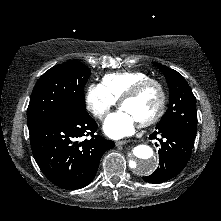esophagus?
<instances>
[{
	"label": "esophagus",
	"mask_w": 221,
	"mask_h": 221,
	"mask_svg": "<svg viewBox=\"0 0 221 221\" xmlns=\"http://www.w3.org/2000/svg\"><path fill=\"white\" fill-rule=\"evenodd\" d=\"M129 142H130V140L116 141V142H115V145H116L117 147H119V146L125 145V144H127V143H129Z\"/></svg>",
	"instance_id": "obj_1"
}]
</instances>
